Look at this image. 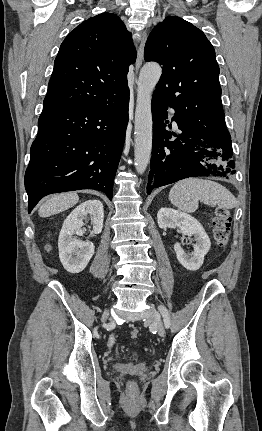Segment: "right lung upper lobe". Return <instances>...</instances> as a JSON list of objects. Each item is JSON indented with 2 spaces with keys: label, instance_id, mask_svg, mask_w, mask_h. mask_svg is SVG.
I'll return each instance as SVG.
<instances>
[{
  "label": "right lung upper lobe",
  "instance_id": "cb5924a9",
  "mask_svg": "<svg viewBox=\"0 0 262 431\" xmlns=\"http://www.w3.org/2000/svg\"><path fill=\"white\" fill-rule=\"evenodd\" d=\"M136 60L130 33L115 14L81 23L60 46L43 109L92 107L117 100Z\"/></svg>",
  "mask_w": 262,
  "mask_h": 431
}]
</instances>
